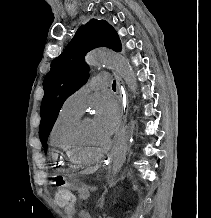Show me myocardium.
Segmentation results:
<instances>
[{"label": "myocardium", "mask_w": 211, "mask_h": 218, "mask_svg": "<svg viewBox=\"0 0 211 218\" xmlns=\"http://www.w3.org/2000/svg\"><path fill=\"white\" fill-rule=\"evenodd\" d=\"M90 119H91L90 117L80 118L76 122V124L73 126L70 132V135H69L71 154L73 158L78 161H93V160L101 159L102 157H104L106 154L109 153L113 145V141L110 140V142L105 148L98 150L96 152L83 150L81 148V145H80L81 130H82L84 123Z\"/></svg>", "instance_id": "obj_1"}]
</instances>
